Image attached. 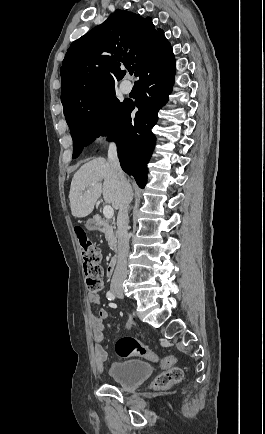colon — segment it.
I'll return each instance as SVG.
<instances>
[{
  "mask_svg": "<svg viewBox=\"0 0 265 434\" xmlns=\"http://www.w3.org/2000/svg\"><path fill=\"white\" fill-rule=\"evenodd\" d=\"M74 234L83 259L87 289L93 294H99L103 291L100 249L89 238L84 227L75 226ZM115 353L121 359H125L132 356H145L147 350L135 337L127 335L116 342ZM156 359L157 357H155ZM174 361L173 357H165L158 361L160 367L165 371L155 378L154 384L156 388H171L182 379L183 372L180 368L174 367Z\"/></svg>",
  "mask_w": 265,
  "mask_h": 434,
  "instance_id": "obj_1",
  "label": "colon"
}]
</instances>
